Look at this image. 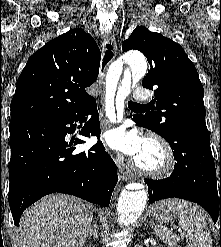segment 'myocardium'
Returning a JSON list of instances; mask_svg holds the SVG:
<instances>
[{"label":"myocardium","mask_w":221,"mask_h":247,"mask_svg":"<svg viewBox=\"0 0 221 247\" xmlns=\"http://www.w3.org/2000/svg\"><path fill=\"white\" fill-rule=\"evenodd\" d=\"M147 143L155 146L162 155V163L155 168L142 166L136 158L132 159V167L140 174L151 178H163L170 175L176 167V154L172 145L161 135L151 133L147 136Z\"/></svg>","instance_id":"f54148a6"}]
</instances>
